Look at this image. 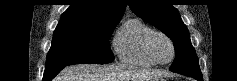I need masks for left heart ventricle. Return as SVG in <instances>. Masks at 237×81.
<instances>
[{"instance_id": "left-heart-ventricle-1", "label": "left heart ventricle", "mask_w": 237, "mask_h": 81, "mask_svg": "<svg viewBox=\"0 0 237 81\" xmlns=\"http://www.w3.org/2000/svg\"><path fill=\"white\" fill-rule=\"evenodd\" d=\"M154 51H155L157 59L162 62L169 60L172 53L169 42L162 37H157L155 39Z\"/></svg>"}]
</instances>
